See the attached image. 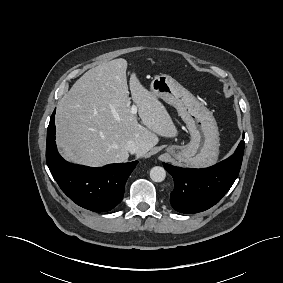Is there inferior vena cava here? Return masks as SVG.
Returning <instances> with one entry per match:
<instances>
[{
	"instance_id": "obj_1",
	"label": "inferior vena cava",
	"mask_w": 283,
	"mask_h": 283,
	"mask_svg": "<svg viewBox=\"0 0 283 283\" xmlns=\"http://www.w3.org/2000/svg\"><path fill=\"white\" fill-rule=\"evenodd\" d=\"M126 149L131 153V154H137L140 152V146L133 140H130L126 143Z\"/></svg>"
}]
</instances>
